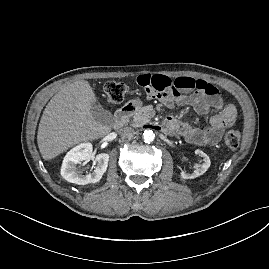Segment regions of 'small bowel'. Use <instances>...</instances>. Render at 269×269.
I'll use <instances>...</instances> for the list:
<instances>
[{
	"mask_svg": "<svg viewBox=\"0 0 269 269\" xmlns=\"http://www.w3.org/2000/svg\"><path fill=\"white\" fill-rule=\"evenodd\" d=\"M137 82L147 95L154 96L158 101L170 103L175 100L179 104H190L199 114H206L211 109L217 111V114L211 117L209 126L203 129L181 122L174 117L167 118L165 124L169 127L168 131L179 133L189 143L216 144L223 130L236 120L235 106L226 103L218 90L204 80L191 77L175 79L168 78L164 74H150L139 76Z\"/></svg>",
	"mask_w": 269,
	"mask_h": 269,
	"instance_id": "obj_1",
	"label": "small bowel"
}]
</instances>
